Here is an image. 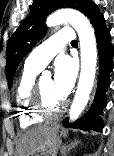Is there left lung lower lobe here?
I'll list each match as a JSON object with an SVG mask.
<instances>
[{
	"label": "left lung lower lobe",
	"instance_id": "obj_1",
	"mask_svg": "<svg viewBox=\"0 0 114 156\" xmlns=\"http://www.w3.org/2000/svg\"><path fill=\"white\" fill-rule=\"evenodd\" d=\"M87 16L95 28L98 52H99V77L95 98L88 112L73 124L68 123L66 118L63 123L66 126L79 128L85 131H102L103 123L100 115L106 106V91L110 85L109 73L113 70L112 57L114 48L111 44V36L106 28L105 19L100 13L97 5H92Z\"/></svg>",
	"mask_w": 114,
	"mask_h": 156
}]
</instances>
